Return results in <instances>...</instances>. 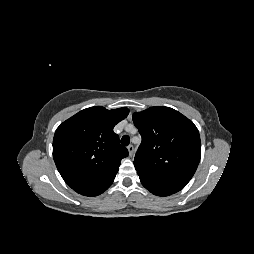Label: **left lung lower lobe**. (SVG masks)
<instances>
[{
    "label": "left lung lower lobe",
    "mask_w": 254,
    "mask_h": 254,
    "mask_svg": "<svg viewBox=\"0 0 254 254\" xmlns=\"http://www.w3.org/2000/svg\"><path fill=\"white\" fill-rule=\"evenodd\" d=\"M140 181L143 186L157 196H168L183 189L187 183L160 178L150 175L141 169H137Z\"/></svg>",
    "instance_id": "obj_1"
}]
</instances>
